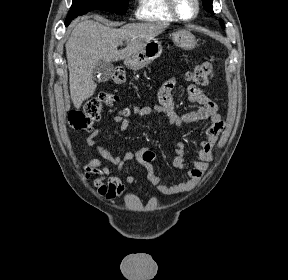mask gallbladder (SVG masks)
Segmentation results:
<instances>
[{
  "label": "gallbladder",
  "mask_w": 288,
  "mask_h": 280,
  "mask_svg": "<svg viewBox=\"0 0 288 280\" xmlns=\"http://www.w3.org/2000/svg\"><path fill=\"white\" fill-rule=\"evenodd\" d=\"M113 69H114V66L112 63L100 60L95 65L93 69V73L94 74L100 73L101 74L100 81L105 82L111 77L113 73Z\"/></svg>",
  "instance_id": "obj_1"
}]
</instances>
